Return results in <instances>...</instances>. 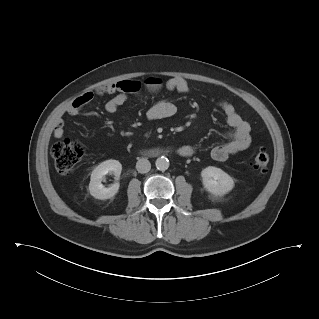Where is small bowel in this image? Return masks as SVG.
<instances>
[{
	"mask_svg": "<svg viewBox=\"0 0 319 319\" xmlns=\"http://www.w3.org/2000/svg\"><path fill=\"white\" fill-rule=\"evenodd\" d=\"M130 81L123 80L106 86L98 88L95 92L86 91L73 99L66 107V113L70 116H77L82 113L83 108L88 105L94 98V95H112L105 104V110L108 113H115L122 105H124L128 98L129 92L126 91V86ZM166 89L176 91L182 94L191 92L189 83L182 77H173L166 83ZM222 113L225 116L228 126L232 129L229 133L230 139L211 150V157L216 161H226L232 155L243 151L251 145V127L245 121L235 107L227 102L222 101L219 104ZM177 111L176 105L166 99L159 100L153 103L146 111V117L150 121H158L167 119L175 115ZM65 134V129L62 123H59L53 130L55 138H62ZM178 152L182 156H191L194 152L190 145H182L179 147Z\"/></svg>",
	"mask_w": 319,
	"mask_h": 319,
	"instance_id": "1",
	"label": "small bowel"
}]
</instances>
